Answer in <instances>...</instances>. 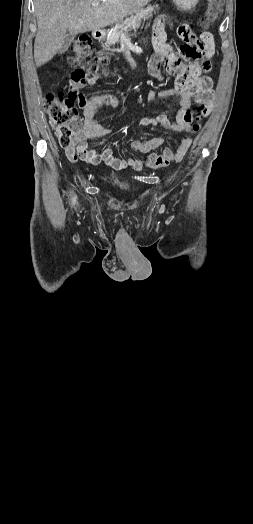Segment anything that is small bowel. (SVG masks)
Instances as JSON below:
<instances>
[{"label":"small bowel","mask_w":253,"mask_h":524,"mask_svg":"<svg viewBox=\"0 0 253 524\" xmlns=\"http://www.w3.org/2000/svg\"><path fill=\"white\" fill-rule=\"evenodd\" d=\"M181 45V55L185 62L183 64L176 56L175 50L171 49L167 43V35L164 26L158 22L154 26L153 45L155 54L147 64L146 74L150 78L161 81L165 74H170L176 78V88L173 90L150 91L146 99L152 101L156 97L175 98L180 105L175 121H171L167 114H160L155 118H143L140 125L143 127L160 124L166 129L174 131H188L193 119L189 111L192 102H208L212 96V81L207 75L210 70V57L215 51L216 46L209 28L202 30L199 36L196 29H192L190 24H181L176 33ZM119 99L110 94L93 96L84 108V126L76 134V143L65 149L67 158L76 162L85 161L91 165H98L102 162L111 166L115 170H122L130 167L134 170H141L143 167L144 156L151 152L162 149L164 139L157 136L151 140L141 142L133 141L130 149L136 153L138 159L130 156L123 158L115 157L113 145L107 144L101 155L97 154L91 143L110 134V130L97 123L96 117L101 113L105 105L118 106ZM188 143H183L181 149L183 155L187 150Z\"/></svg>","instance_id":"small-bowel-1"}]
</instances>
